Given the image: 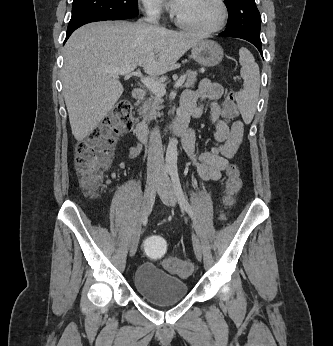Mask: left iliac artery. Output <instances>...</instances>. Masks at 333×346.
Here are the masks:
<instances>
[{"label": "left iliac artery", "instance_id": "44dca946", "mask_svg": "<svg viewBox=\"0 0 333 346\" xmlns=\"http://www.w3.org/2000/svg\"><path fill=\"white\" fill-rule=\"evenodd\" d=\"M170 176H171L173 188H174V191H175V194L177 196V199H178L180 206L188 213V215L191 218H194L193 210H192L190 204L188 203V201L184 195V192L182 190L177 168H171L170 169Z\"/></svg>", "mask_w": 333, "mask_h": 346}]
</instances>
